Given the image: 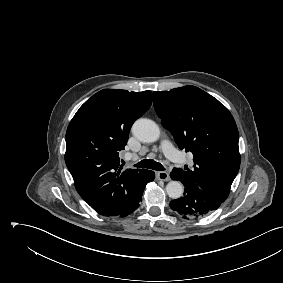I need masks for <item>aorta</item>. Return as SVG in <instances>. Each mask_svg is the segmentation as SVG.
I'll return each instance as SVG.
<instances>
[{
	"label": "aorta",
	"instance_id": "762f6f07",
	"mask_svg": "<svg viewBox=\"0 0 283 283\" xmlns=\"http://www.w3.org/2000/svg\"><path fill=\"white\" fill-rule=\"evenodd\" d=\"M133 135L142 142L152 143L159 139L160 129L158 125L146 118H140L132 126ZM166 192L172 199H178L183 195L184 188L179 181H170L166 185Z\"/></svg>",
	"mask_w": 283,
	"mask_h": 283
}]
</instances>
